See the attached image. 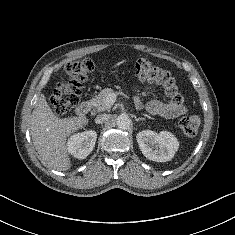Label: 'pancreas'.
<instances>
[{
	"label": "pancreas",
	"instance_id": "1",
	"mask_svg": "<svg viewBox=\"0 0 235 235\" xmlns=\"http://www.w3.org/2000/svg\"><path fill=\"white\" fill-rule=\"evenodd\" d=\"M114 93V91L110 88L103 89L98 95L90 100V103L94 110L98 112H102L111 108V106L107 103V97Z\"/></svg>",
	"mask_w": 235,
	"mask_h": 235
}]
</instances>
